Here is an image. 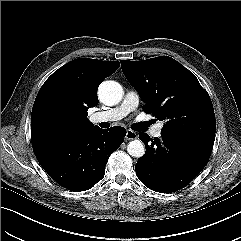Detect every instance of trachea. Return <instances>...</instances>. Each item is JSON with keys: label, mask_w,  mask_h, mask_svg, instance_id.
<instances>
[{"label": "trachea", "mask_w": 241, "mask_h": 241, "mask_svg": "<svg viewBox=\"0 0 241 241\" xmlns=\"http://www.w3.org/2000/svg\"><path fill=\"white\" fill-rule=\"evenodd\" d=\"M150 124H151L150 122L138 124V125L136 126V129L141 130V129H143V127L149 126Z\"/></svg>", "instance_id": "trachea-1"}]
</instances>
